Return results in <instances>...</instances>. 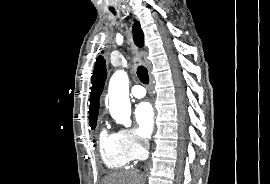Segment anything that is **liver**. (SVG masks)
<instances>
[{
  "label": "liver",
  "instance_id": "1",
  "mask_svg": "<svg viewBox=\"0 0 270 184\" xmlns=\"http://www.w3.org/2000/svg\"><path fill=\"white\" fill-rule=\"evenodd\" d=\"M140 175L136 172L112 173L104 177L102 184H138Z\"/></svg>",
  "mask_w": 270,
  "mask_h": 184
}]
</instances>
